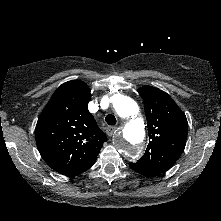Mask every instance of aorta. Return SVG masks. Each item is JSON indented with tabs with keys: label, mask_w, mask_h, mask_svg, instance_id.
Returning a JSON list of instances; mask_svg holds the SVG:
<instances>
[{
	"label": "aorta",
	"mask_w": 221,
	"mask_h": 221,
	"mask_svg": "<svg viewBox=\"0 0 221 221\" xmlns=\"http://www.w3.org/2000/svg\"><path fill=\"white\" fill-rule=\"evenodd\" d=\"M113 107L124 125L116 137V145L128 159L134 160L140 156L145 137L143 119L138 116V106L134 100L122 94L114 96Z\"/></svg>",
	"instance_id": "obj_1"
}]
</instances>
